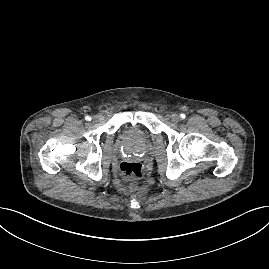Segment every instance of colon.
<instances>
[{"label":"colon","instance_id":"colon-1","mask_svg":"<svg viewBox=\"0 0 269 269\" xmlns=\"http://www.w3.org/2000/svg\"><path fill=\"white\" fill-rule=\"evenodd\" d=\"M117 171L120 179L125 182L137 181L143 176V166L139 162H122Z\"/></svg>","mask_w":269,"mask_h":269}]
</instances>
